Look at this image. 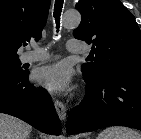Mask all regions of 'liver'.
I'll list each match as a JSON object with an SVG mask.
<instances>
[{"label": "liver", "mask_w": 141, "mask_h": 139, "mask_svg": "<svg viewBox=\"0 0 141 139\" xmlns=\"http://www.w3.org/2000/svg\"><path fill=\"white\" fill-rule=\"evenodd\" d=\"M32 126L8 114L0 113V139H28Z\"/></svg>", "instance_id": "obj_1"}]
</instances>
